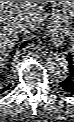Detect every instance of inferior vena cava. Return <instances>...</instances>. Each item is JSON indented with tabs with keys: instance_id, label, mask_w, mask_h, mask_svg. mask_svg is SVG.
I'll use <instances>...</instances> for the list:
<instances>
[{
	"instance_id": "1",
	"label": "inferior vena cava",
	"mask_w": 74,
	"mask_h": 122,
	"mask_svg": "<svg viewBox=\"0 0 74 122\" xmlns=\"http://www.w3.org/2000/svg\"><path fill=\"white\" fill-rule=\"evenodd\" d=\"M24 27H25L24 24H21V23H20V24L18 25V28H19L20 31H22V30L24 29Z\"/></svg>"
}]
</instances>
